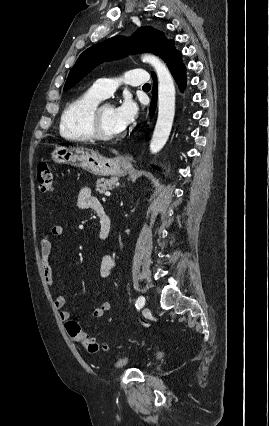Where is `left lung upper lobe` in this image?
<instances>
[{
	"mask_svg": "<svg viewBox=\"0 0 269 426\" xmlns=\"http://www.w3.org/2000/svg\"><path fill=\"white\" fill-rule=\"evenodd\" d=\"M173 40L152 27H141L131 38L116 36L85 50L72 67L64 90L72 88L92 69L105 60L120 58L127 54L152 52L158 56Z\"/></svg>",
	"mask_w": 269,
	"mask_h": 426,
	"instance_id": "left-lung-upper-lobe-1",
	"label": "left lung upper lobe"
}]
</instances>
